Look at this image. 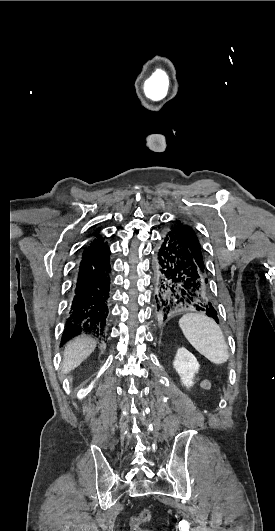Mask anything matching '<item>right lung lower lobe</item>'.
Here are the masks:
<instances>
[{
	"mask_svg": "<svg viewBox=\"0 0 275 531\" xmlns=\"http://www.w3.org/2000/svg\"><path fill=\"white\" fill-rule=\"evenodd\" d=\"M110 253L100 235L85 248L77 267L62 342L87 332L104 336L108 314Z\"/></svg>",
	"mask_w": 275,
	"mask_h": 531,
	"instance_id": "98d812e1",
	"label": "right lung lower lobe"
}]
</instances>
